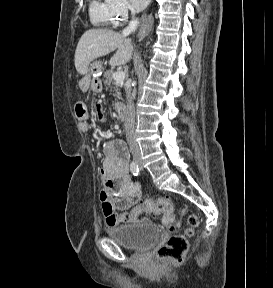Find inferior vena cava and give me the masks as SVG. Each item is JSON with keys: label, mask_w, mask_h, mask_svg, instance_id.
I'll return each instance as SVG.
<instances>
[{"label": "inferior vena cava", "mask_w": 273, "mask_h": 288, "mask_svg": "<svg viewBox=\"0 0 273 288\" xmlns=\"http://www.w3.org/2000/svg\"><path fill=\"white\" fill-rule=\"evenodd\" d=\"M131 13L133 15V18L130 21L129 25L122 31V35L124 37L128 36L130 33L135 31L139 24L138 19L134 17L135 10L131 9ZM125 90H126V99H127V107H126V113H125V118H124L126 139L129 144L131 152L133 154H138L140 150H139V146H138V143L136 141V136H135V107L133 104V97L131 94V86L126 87Z\"/></svg>", "instance_id": "inferior-vena-cava-1"}]
</instances>
